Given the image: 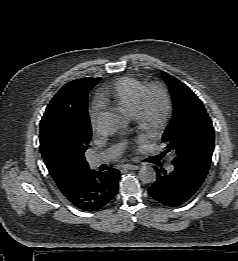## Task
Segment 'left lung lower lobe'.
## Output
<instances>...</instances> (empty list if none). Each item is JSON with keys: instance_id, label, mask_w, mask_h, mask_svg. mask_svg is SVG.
<instances>
[{"instance_id": "left-lung-lower-lobe-1", "label": "left lung lower lobe", "mask_w": 238, "mask_h": 261, "mask_svg": "<svg viewBox=\"0 0 238 261\" xmlns=\"http://www.w3.org/2000/svg\"><path fill=\"white\" fill-rule=\"evenodd\" d=\"M154 168L156 181L148 188V193L153 199L168 207H177L188 201L206 177L175 166L170 171Z\"/></svg>"}]
</instances>
